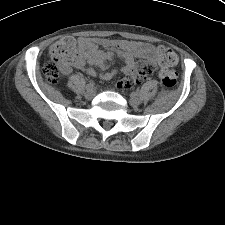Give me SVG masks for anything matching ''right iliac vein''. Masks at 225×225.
Returning <instances> with one entry per match:
<instances>
[{
  "label": "right iliac vein",
  "mask_w": 225,
  "mask_h": 225,
  "mask_svg": "<svg viewBox=\"0 0 225 225\" xmlns=\"http://www.w3.org/2000/svg\"><path fill=\"white\" fill-rule=\"evenodd\" d=\"M95 96V90L93 88L87 89L85 97L89 100L93 99Z\"/></svg>",
  "instance_id": "1"
}]
</instances>
